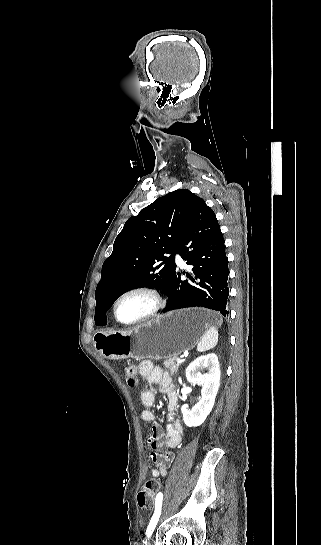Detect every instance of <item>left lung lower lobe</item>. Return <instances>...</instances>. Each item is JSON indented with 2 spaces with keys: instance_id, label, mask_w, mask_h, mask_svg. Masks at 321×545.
Here are the masks:
<instances>
[{
  "instance_id": "0a47b994",
  "label": "left lung lower lobe",
  "mask_w": 321,
  "mask_h": 545,
  "mask_svg": "<svg viewBox=\"0 0 321 545\" xmlns=\"http://www.w3.org/2000/svg\"><path fill=\"white\" fill-rule=\"evenodd\" d=\"M224 242L215 213L205 202L198 204L175 252L193 266L194 276L187 274L189 279L181 280L174 264L171 278L163 288L169 297L164 312L205 307L223 316L229 314V269Z\"/></svg>"
}]
</instances>
